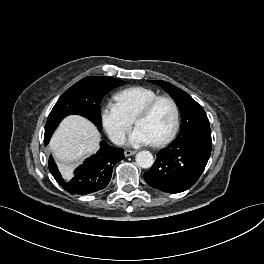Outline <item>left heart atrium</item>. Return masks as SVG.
Instances as JSON below:
<instances>
[{"label":"left heart atrium","instance_id":"obj_1","mask_svg":"<svg viewBox=\"0 0 264 264\" xmlns=\"http://www.w3.org/2000/svg\"><path fill=\"white\" fill-rule=\"evenodd\" d=\"M128 144L134 147L148 145L153 143L152 139L148 136V134L141 129L140 127H136L128 137Z\"/></svg>","mask_w":264,"mask_h":264}]
</instances>
